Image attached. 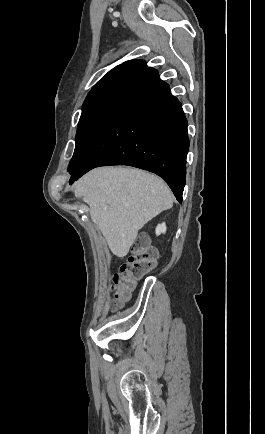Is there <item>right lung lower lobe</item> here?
I'll use <instances>...</instances> for the list:
<instances>
[{"instance_id": "1", "label": "right lung lower lobe", "mask_w": 265, "mask_h": 434, "mask_svg": "<svg viewBox=\"0 0 265 434\" xmlns=\"http://www.w3.org/2000/svg\"><path fill=\"white\" fill-rule=\"evenodd\" d=\"M181 103L153 68L126 85L85 156L69 169L72 184L98 166L129 165L156 173L181 202L189 149Z\"/></svg>"}]
</instances>
